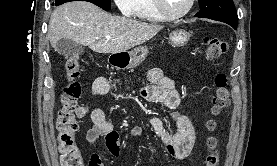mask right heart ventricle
<instances>
[{"instance_id": "right-heart-ventricle-1", "label": "right heart ventricle", "mask_w": 277, "mask_h": 166, "mask_svg": "<svg viewBox=\"0 0 277 166\" xmlns=\"http://www.w3.org/2000/svg\"><path fill=\"white\" fill-rule=\"evenodd\" d=\"M131 15L139 20L149 23H160L165 21V19L158 13L154 0H136Z\"/></svg>"}]
</instances>
